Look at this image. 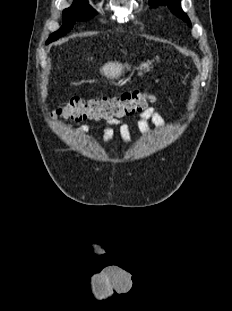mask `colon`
I'll return each mask as SVG.
<instances>
[{
  "instance_id": "obj_1",
  "label": "colon",
  "mask_w": 232,
  "mask_h": 311,
  "mask_svg": "<svg viewBox=\"0 0 232 311\" xmlns=\"http://www.w3.org/2000/svg\"><path fill=\"white\" fill-rule=\"evenodd\" d=\"M155 100V96L143 90L125 92L110 99L72 98L64 106L58 108L54 115L75 122L86 120L114 121L134 116L147 109Z\"/></svg>"
}]
</instances>
